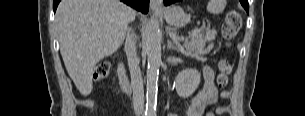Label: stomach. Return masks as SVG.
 Returning <instances> with one entry per match:
<instances>
[{
  "label": "stomach",
  "mask_w": 305,
  "mask_h": 116,
  "mask_svg": "<svg viewBox=\"0 0 305 116\" xmlns=\"http://www.w3.org/2000/svg\"><path fill=\"white\" fill-rule=\"evenodd\" d=\"M167 23L175 27H183L190 22V17L179 6H172L162 11Z\"/></svg>",
  "instance_id": "1"
}]
</instances>
